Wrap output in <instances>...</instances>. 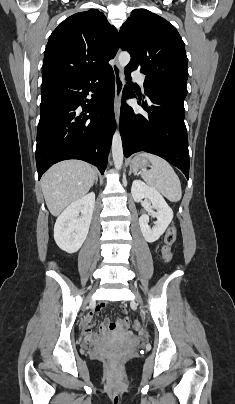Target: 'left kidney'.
Returning <instances> with one entry per match:
<instances>
[{"label": "left kidney", "mask_w": 235, "mask_h": 404, "mask_svg": "<svg viewBox=\"0 0 235 404\" xmlns=\"http://www.w3.org/2000/svg\"><path fill=\"white\" fill-rule=\"evenodd\" d=\"M131 193L134 201L139 202L144 198L149 199L153 208L157 210L152 215L157 219L152 229L148 225L149 216L147 214H143L139 218V225L144 239L149 243H153L157 241L167 229L173 219V211L156 189L140 180L133 181Z\"/></svg>", "instance_id": "left-kidney-1"}]
</instances>
